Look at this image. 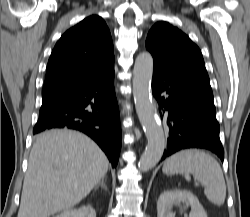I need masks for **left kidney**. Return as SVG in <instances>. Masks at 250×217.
<instances>
[{"instance_id":"1","label":"left kidney","mask_w":250,"mask_h":217,"mask_svg":"<svg viewBox=\"0 0 250 217\" xmlns=\"http://www.w3.org/2000/svg\"><path fill=\"white\" fill-rule=\"evenodd\" d=\"M186 203L191 206L192 212L189 217H207V214L197 197L188 190L164 191L157 201V217H175L171 211L174 205Z\"/></svg>"}]
</instances>
